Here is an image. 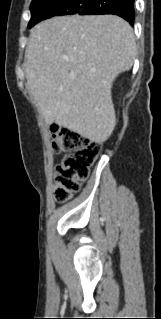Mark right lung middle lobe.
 Here are the masks:
<instances>
[{"mask_svg":"<svg viewBox=\"0 0 161 319\" xmlns=\"http://www.w3.org/2000/svg\"><path fill=\"white\" fill-rule=\"evenodd\" d=\"M89 2L90 0H33L30 5L31 20L28 28L54 16L76 14Z\"/></svg>","mask_w":161,"mask_h":319,"instance_id":"right-lung-middle-lobe-1","label":"right lung middle lobe"}]
</instances>
